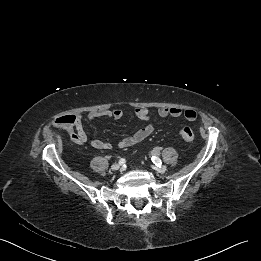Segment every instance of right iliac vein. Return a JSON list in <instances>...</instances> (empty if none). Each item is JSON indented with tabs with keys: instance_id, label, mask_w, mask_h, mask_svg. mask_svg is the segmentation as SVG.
I'll return each mask as SVG.
<instances>
[{
	"instance_id": "1",
	"label": "right iliac vein",
	"mask_w": 261,
	"mask_h": 261,
	"mask_svg": "<svg viewBox=\"0 0 261 261\" xmlns=\"http://www.w3.org/2000/svg\"><path fill=\"white\" fill-rule=\"evenodd\" d=\"M111 169H112L113 171L119 170V169H120V164L114 163V164L111 166Z\"/></svg>"
}]
</instances>
